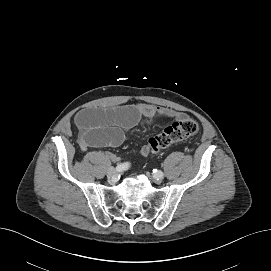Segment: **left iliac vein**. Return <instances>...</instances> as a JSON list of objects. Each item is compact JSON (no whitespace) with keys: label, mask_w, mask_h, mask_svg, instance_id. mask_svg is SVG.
<instances>
[{"label":"left iliac vein","mask_w":271,"mask_h":271,"mask_svg":"<svg viewBox=\"0 0 271 271\" xmlns=\"http://www.w3.org/2000/svg\"><path fill=\"white\" fill-rule=\"evenodd\" d=\"M162 179H163V176L161 177L155 176V175L153 176V180L155 183H161Z\"/></svg>","instance_id":"obj_1"}]
</instances>
